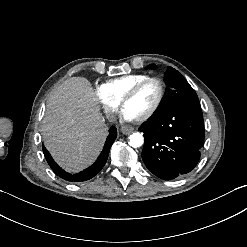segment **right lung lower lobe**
I'll return each instance as SVG.
<instances>
[{
    "mask_svg": "<svg viewBox=\"0 0 247 247\" xmlns=\"http://www.w3.org/2000/svg\"><path fill=\"white\" fill-rule=\"evenodd\" d=\"M117 137V131L115 127H111L109 130V136L106 140L105 146L103 151L101 152L100 156L96 160V162L90 166L89 168L83 170L82 172H79L77 174H70L65 172L62 168H60L56 162L53 160L51 157L50 153L46 150V148L43 146V153L44 156L51 167V169L54 171V173L59 176L60 178L70 181V182H81V181H86L91 178H93L95 175H97L101 169L104 167L110 148L115 141Z\"/></svg>",
    "mask_w": 247,
    "mask_h": 247,
    "instance_id": "obj_1",
    "label": "right lung lower lobe"
}]
</instances>
